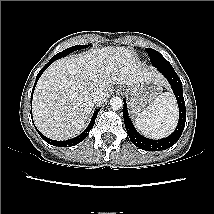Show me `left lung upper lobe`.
<instances>
[{
	"label": "left lung upper lobe",
	"mask_w": 214,
	"mask_h": 214,
	"mask_svg": "<svg viewBox=\"0 0 214 214\" xmlns=\"http://www.w3.org/2000/svg\"><path fill=\"white\" fill-rule=\"evenodd\" d=\"M146 51L150 57L151 63L156 68L172 67L171 64L156 50L147 48Z\"/></svg>",
	"instance_id": "1"
}]
</instances>
